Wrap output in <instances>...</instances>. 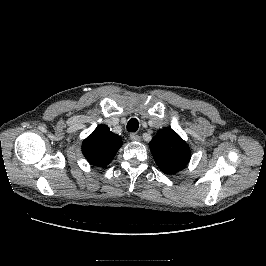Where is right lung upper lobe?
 <instances>
[{"label":"right lung upper lobe","instance_id":"right-lung-upper-lobe-1","mask_svg":"<svg viewBox=\"0 0 266 266\" xmlns=\"http://www.w3.org/2000/svg\"><path fill=\"white\" fill-rule=\"evenodd\" d=\"M122 146V139L105 125L98 126L82 143V153L92 165L105 167Z\"/></svg>","mask_w":266,"mask_h":266}]
</instances>
